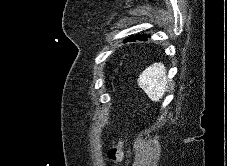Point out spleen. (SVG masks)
Returning a JSON list of instances; mask_svg holds the SVG:
<instances>
[{"label":"spleen","mask_w":227,"mask_h":166,"mask_svg":"<svg viewBox=\"0 0 227 166\" xmlns=\"http://www.w3.org/2000/svg\"><path fill=\"white\" fill-rule=\"evenodd\" d=\"M167 83L166 68L161 62L153 63L147 67L138 79L139 87L154 102L162 99L166 92Z\"/></svg>","instance_id":"obj_1"}]
</instances>
